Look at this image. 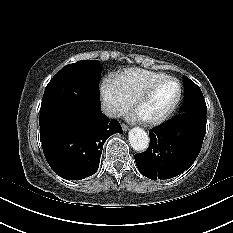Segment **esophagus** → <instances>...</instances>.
Listing matches in <instances>:
<instances>
[{"label": "esophagus", "instance_id": "34e87169", "mask_svg": "<svg viewBox=\"0 0 233 233\" xmlns=\"http://www.w3.org/2000/svg\"><path fill=\"white\" fill-rule=\"evenodd\" d=\"M122 129L124 132L129 130V126H127L126 124H122Z\"/></svg>", "mask_w": 233, "mask_h": 233}]
</instances>
